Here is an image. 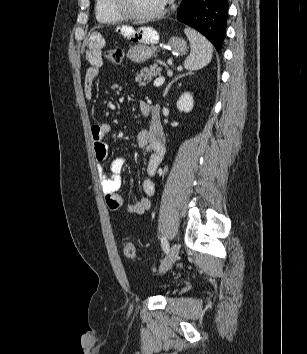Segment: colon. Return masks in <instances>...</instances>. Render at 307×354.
<instances>
[{
	"label": "colon",
	"instance_id": "1",
	"mask_svg": "<svg viewBox=\"0 0 307 354\" xmlns=\"http://www.w3.org/2000/svg\"><path fill=\"white\" fill-rule=\"evenodd\" d=\"M123 51L119 48H111L106 51L105 57L112 63H120L123 59ZM122 250L124 257L128 259H135L137 257V250L135 245L128 239L123 240Z\"/></svg>",
	"mask_w": 307,
	"mask_h": 354
}]
</instances>
